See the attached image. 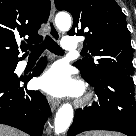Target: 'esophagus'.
<instances>
[{
    "instance_id": "34e87169",
    "label": "esophagus",
    "mask_w": 136,
    "mask_h": 136,
    "mask_svg": "<svg viewBox=\"0 0 136 136\" xmlns=\"http://www.w3.org/2000/svg\"><path fill=\"white\" fill-rule=\"evenodd\" d=\"M54 15H55V5H54V1L51 0V10L48 18L49 35L53 40L59 41L60 33L55 26ZM48 103L50 105L51 110L54 111L56 107L59 105V100L49 96Z\"/></svg>"
}]
</instances>
